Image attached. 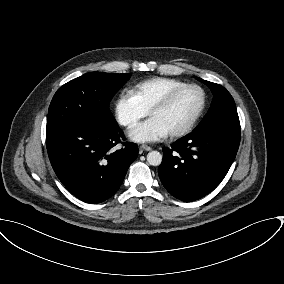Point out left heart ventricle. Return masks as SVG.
Instances as JSON below:
<instances>
[{
  "mask_svg": "<svg viewBox=\"0 0 284 284\" xmlns=\"http://www.w3.org/2000/svg\"><path fill=\"white\" fill-rule=\"evenodd\" d=\"M202 101L199 90L191 88L181 92L166 108L154 112L156 119L167 133L185 126L194 116Z\"/></svg>",
  "mask_w": 284,
  "mask_h": 284,
  "instance_id": "left-heart-ventricle-1",
  "label": "left heart ventricle"
}]
</instances>
